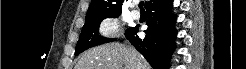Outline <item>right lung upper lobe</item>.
I'll return each mask as SVG.
<instances>
[{
    "mask_svg": "<svg viewBox=\"0 0 246 69\" xmlns=\"http://www.w3.org/2000/svg\"><path fill=\"white\" fill-rule=\"evenodd\" d=\"M124 0H92L86 15V21L97 20L108 16L120 15ZM156 0L145 3L148 7Z\"/></svg>",
    "mask_w": 246,
    "mask_h": 69,
    "instance_id": "cb5924a9",
    "label": "right lung upper lobe"
}]
</instances>
